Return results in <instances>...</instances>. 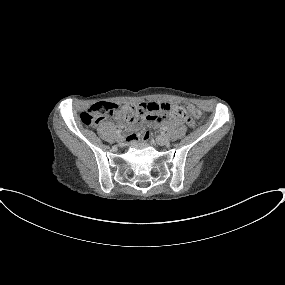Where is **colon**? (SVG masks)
Instances as JSON below:
<instances>
[{
    "instance_id": "5ec220e1",
    "label": "colon",
    "mask_w": 285,
    "mask_h": 285,
    "mask_svg": "<svg viewBox=\"0 0 285 285\" xmlns=\"http://www.w3.org/2000/svg\"><path fill=\"white\" fill-rule=\"evenodd\" d=\"M149 112L150 111L144 105L118 107L110 102H98L82 112L80 114V120L84 125L94 127L109 117L133 120L140 114H148ZM168 114L172 117H183L187 119H191L192 117L201 119L203 117L200 110L183 102L171 104ZM132 139V136L128 138L129 141Z\"/></svg>"
}]
</instances>
